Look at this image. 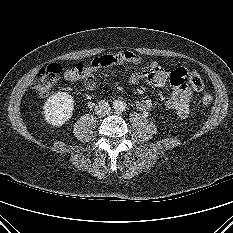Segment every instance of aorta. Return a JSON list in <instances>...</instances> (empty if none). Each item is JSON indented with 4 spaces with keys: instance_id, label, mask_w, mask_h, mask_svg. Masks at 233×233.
Masks as SVG:
<instances>
[{
    "instance_id": "1",
    "label": "aorta",
    "mask_w": 233,
    "mask_h": 233,
    "mask_svg": "<svg viewBox=\"0 0 233 233\" xmlns=\"http://www.w3.org/2000/svg\"><path fill=\"white\" fill-rule=\"evenodd\" d=\"M113 109L116 111H123L125 109V103L120 100H115L113 102Z\"/></svg>"
}]
</instances>
